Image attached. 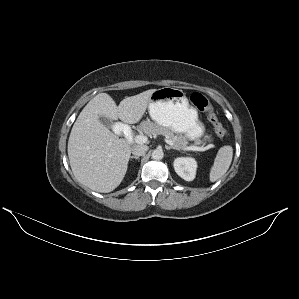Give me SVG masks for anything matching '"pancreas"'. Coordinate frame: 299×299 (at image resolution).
<instances>
[{"instance_id":"1","label":"pancreas","mask_w":299,"mask_h":299,"mask_svg":"<svg viewBox=\"0 0 299 299\" xmlns=\"http://www.w3.org/2000/svg\"><path fill=\"white\" fill-rule=\"evenodd\" d=\"M139 130L147 134L148 136L162 135L166 139L171 140L175 148L182 149L187 146V140L183 135H175L170 129L160 126L150 120L143 121L139 126ZM201 141H197L196 144H200Z\"/></svg>"}]
</instances>
